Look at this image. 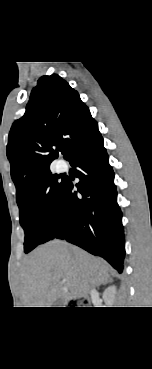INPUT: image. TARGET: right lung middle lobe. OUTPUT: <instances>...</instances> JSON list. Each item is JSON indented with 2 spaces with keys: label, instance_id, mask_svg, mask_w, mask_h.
<instances>
[{
  "label": "right lung middle lobe",
  "instance_id": "1",
  "mask_svg": "<svg viewBox=\"0 0 152 369\" xmlns=\"http://www.w3.org/2000/svg\"><path fill=\"white\" fill-rule=\"evenodd\" d=\"M51 172L28 187L18 198L20 224L25 231L24 250L30 252L55 232L58 207L66 180Z\"/></svg>",
  "mask_w": 152,
  "mask_h": 369
}]
</instances>
